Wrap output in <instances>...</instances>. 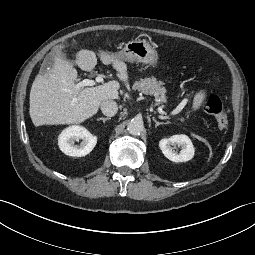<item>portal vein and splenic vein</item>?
<instances>
[{
	"label": "portal vein and splenic vein",
	"mask_w": 255,
	"mask_h": 255,
	"mask_svg": "<svg viewBox=\"0 0 255 255\" xmlns=\"http://www.w3.org/2000/svg\"><path fill=\"white\" fill-rule=\"evenodd\" d=\"M103 82V77L101 75H98L94 80H90V79H84L81 82H79L77 84V87H84V86H94L96 83H102ZM174 114V113H172Z\"/></svg>",
	"instance_id": "obj_1"
}]
</instances>
